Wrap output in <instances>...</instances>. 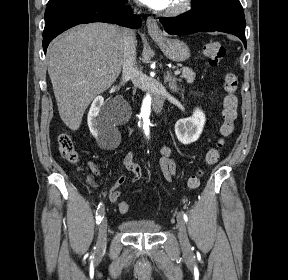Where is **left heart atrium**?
<instances>
[{
    "mask_svg": "<svg viewBox=\"0 0 288 280\" xmlns=\"http://www.w3.org/2000/svg\"><path fill=\"white\" fill-rule=\"evenodd\" d=\"M151 8L164 10L169 7L171 0H141Z\"/></svg>",
    "mask_w": 288,
    "mask_h": 280,
    "instance_id": "left-heart-atrium-1",
    "label": "left heart atrium"
}]
</instances>
